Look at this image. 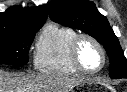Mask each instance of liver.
I'll list each match as a JSON object with an SVG mask.
<instances>
[{
    "label": "liver",
    "instance_id": "obj_1",
    "mask_svg": "<svg viewBox=\"0 0 127 92\" xmlns=\"http://www.w3.org/2000/svg\"><path fill=\"white\" fill-rule=\"evenodd\" d=\"M85 80L50 74L13 77L0 70V92H69Z\"/></svg>",
    "mask_w": 127,
    "mask_h": 92
}]
</instances>
